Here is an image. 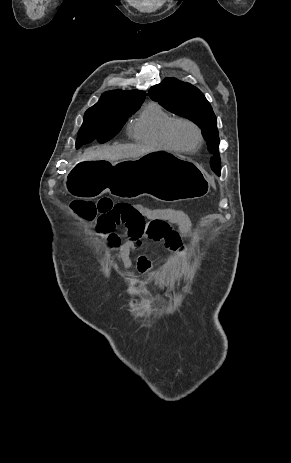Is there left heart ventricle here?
Masks as SVG:
<instances>
[{"instance_id": "obj_1", "label": "left heart ventricle", "mask_w": 291, "mask_h": 463, "mask_svg": "<svg viewBox=\"0 0 291 463\" xmlns=\"http://www.w3.org/2000/svg\"><path fill=\"white\" fill-rule=\"evenodd\" d=\"M175 136L178 142L184 147H193L197 142L194 129L186 124H180L175 129Z\"/></svg>"}]
</instances>
